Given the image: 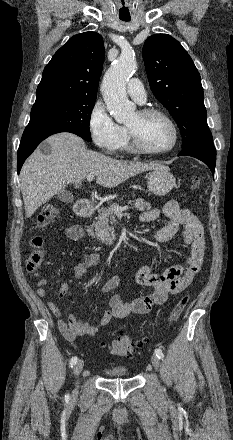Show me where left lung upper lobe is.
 <instances>
[{
  "instance_id": "1",
  "label": "left lung upper lobe",
  "mask_w": 233,
  "mask_h": 440,
  "mask_svg": "<svg viewBox=\"0 0 233 440\" xmlns=\"http://www.w3.org/2000/svg\"><path fill=\"white\" fill-rule=\"evenodd\" d=\"M142 55L152 92L179 126L182 149L212 139L201 78L182 45L156 34L147 38Z\"/></svg>"
}]
</instances>
